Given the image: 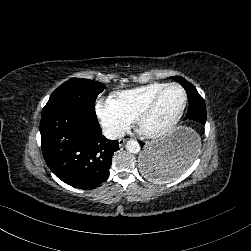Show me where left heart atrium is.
I'll use <instances>...</instances> for the list:
<instances>
[{
  "label": "left heart atrium",
  "mask_w": 251,
  "mask_h": 251,
  "mask_svg": "<svg viewBox=\"0 0 251 251\" xmlns=\"http://www.w3.org/2000/svg\"><path fill=\"white\" fill-rule=\"evenodd\" d=\"M139 133L143 134V135H148L150 132L145 127H142L140 129Z\"/></svg>",
  "instance_id": "1"
}]
</instances>
